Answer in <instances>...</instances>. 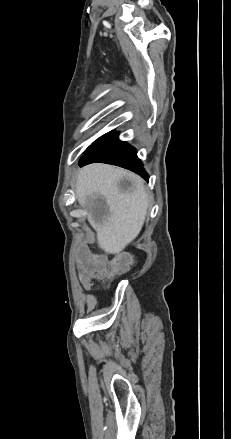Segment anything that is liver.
<instances>
[{"mask_svg": "<svg viewBox=\"0 0 231 439\" xmlns=\"http://www.w3.org/2000/svg\"><path fill=\"white\" fill-rule=\"evenodd\" d=\"M123 178L132 182L122 191ZM76 197L82 203L102 196L107 205L101 219L91 213L89 221L97 232L98 246L109 254H120L140 233L148 207V194L143 180L127 170L102 163L81 168L77 174Z\"/></svg>", "mask_w": 231, "mask_h": 439, "instance_id": "1", "label": "liver"}]
</instances>
